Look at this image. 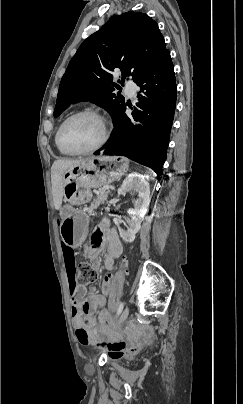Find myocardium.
<instances>
[{
    "label": "myocardium",
    "mask_w": 243,
    "mask_h": 404,
    "mask_svg": "<svg viewBox=\"0 0 243 404\" xmlns=\"http://www.w3.org/2000/svg\"><path fill=\"white\" fill-rule=\"evenodd\" d=\"M81 115H92L95 116L96 118H98L102 123H103V135L102 138L100 139V141L95 144L94 146L88 147V148H80V147H76V146H72L69 145L68 143L65 142V140L63 139V130L65 128V126L74 118L81 116ZM58 135H59V141L60 143L66 147L67 149L76 152V153H91L94 151L99 150L100 148H102L105 143L107 142L108 138H109V131H108V126L106 123V119L104 118V116L102 114H100L98 111L91 109V108H84V109H80L77 110L73 113H71L70 115H68L60 124L59 128H58Z\"/></svg>",
    "instance_id": "f54148a6"
}]
</instances>
